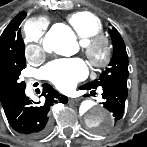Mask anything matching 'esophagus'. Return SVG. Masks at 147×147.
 Here are the masks:
<instances>
[{"mask_svg":"<svg viewBox=\"0 0 147 147\" xmlns=\"http://www.w3.org/2000/svg\"><path fill=\"white\" fill-rule=\"evenodd\" d=\"M69 101L72 103H75V102H78L79 99L78 98H70Z\"/></svg>","mask_w":147,"mask_h":147,"instance_id":"34e87169","label":"esophagus"}]
</instances>
